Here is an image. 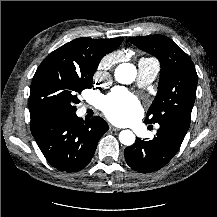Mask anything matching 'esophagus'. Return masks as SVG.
I'll use <instances>...</instances> for the list:
<instances>
[{
    "mask_svg": "<svg viewBox=\"0 0 217 217\" xmlns=\"http://www.w3.org/2000/svg\"><path fill=\"white\" fill-rule=\"evenodd\" d=\"M110 130H112V131H119L120 129L117 128V127H115V126H113V125H110Z\"/></svg>",
    "mask_w": 217,
    "mask_h": 217,
    "instance_id": "34e87169",
    "label": "esophagus"
}]
</instances>
